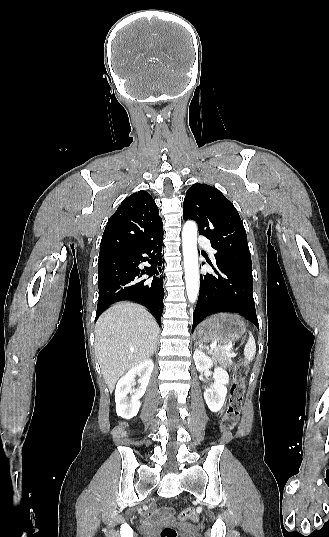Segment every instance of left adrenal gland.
I'll use <instances>...</instances> for the list:
<instances>
[{
	"label": "left adrenal gland",
	"mask_w": 329,
	"mask_h": 537,
	"mask_svg": "<svg viewBox=\"0 0 329 537\" xmlns=\"http://www.w3.org/2000/svg\"><path fill=\"white\" fill-rule=\"evenodd\" d=\"M195 346H196L197 348L200 347L198 343H195Z\"/></svg>",
	"instance_id": "left-adrenal-gland-1"
}]
</instances>
